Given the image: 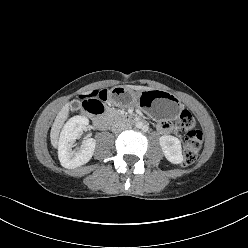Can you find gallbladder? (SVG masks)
I'll return each mask as SVG.
<instances>
[{"instance_id": "gallbladder-1", "label": "gallbladder", "mask_w": 248, "mask_h": 248, "mask_svg": "<svg viewBox=\"0 0 248 248\" xmlns=\"http://www.w3.org/2000/svg\"><path fill=\"white\" fill-rule=\"evenodd\" d=\"M72 106L76 109H78L80 107V102L78 100H74L72 101Z\"/></svg>"}]
</instances>
